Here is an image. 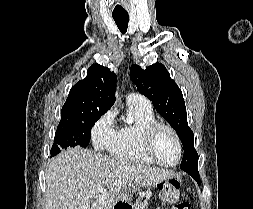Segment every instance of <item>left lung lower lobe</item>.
<instances>
[{
	"mask_svg": "<svg viewBox=\"0 0 253 209\" xmlns=\"http://www.w3.org/2000/svg\"><path fill=\"white\" fill-rule=\"evenodd\" d=\"M191 177H193L195 179V181L200 185V176H199V172H195L190 174Z\"/></svg>",
	"mask_w": 253,
	"mask_h": 209,
	"instance_id": "0a47b994",
	"label": "left lung lower lobe"
}]
</instances>
